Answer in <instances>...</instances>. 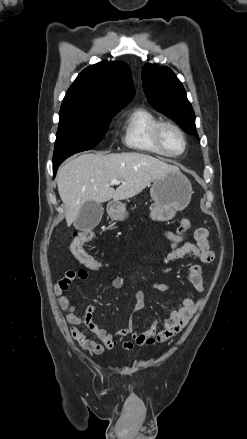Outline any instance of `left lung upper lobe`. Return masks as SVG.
Wrapping results in <instances>:
<instances>
[{
    "instance_id": "left-lung-upper-lobe-1",
    "label": "left lung upper lobe",
    "mask_w": 247,
    "mask_h": 439,
    "mask_svg": "<svg viewBox=\"0 0 247 439\" xmlns=\"http://www.w3.org/2000/svg\"><path fill=\"white\" fill-rule=\"evenodd\" d=\"M142 82L150 105L175 121L186 133L198 137L195 114L182 83L168 67L146 63Z\"/></svg>"
}]
</instances>
